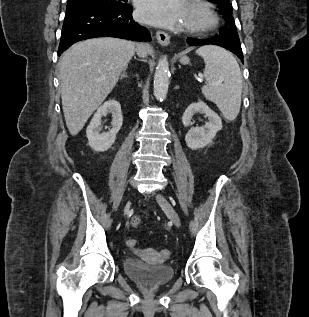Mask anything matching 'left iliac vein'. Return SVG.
I'll list each match as a JSON object with an SVG mask.
<instances>
[{
    "label": "left iliac vein",
    "instance_id": "4c4485c4",
    "mask_svg": "<svg viewBox=\"0 0 309 317\" xmlns=\"http://www.w3.org/2000/svg\"><path fill=\"white\" fill-rule=\"evenodd\" d=\"M156 200L158 204L161 206V208L164 210V212L169 216V218L172 220V222L175 224V226L180 227L181 226V220L174 209V207L170 204V202L162 195L157 194Z\"/></svg>",
    "mask_w": 309,
    "mask_h": 317
}]
</instances>
